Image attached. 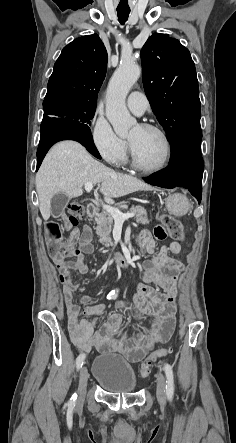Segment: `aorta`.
Listing matches in <instances>:
<instances>
[{
  "instance_id": "obj_1",
  "label": "aorta",
  "mask_w": 236,
  "mask_h": 443,
  "mask_svg": "<svg viewBox=\"0 0 236 443\" xmlns=\"http://www.w3.org/2000/svg\"><path fill=\"white\" fill-rule=\"evenodd\" d=\"M141 75V68L133 63L123 61L113 73L106 92V117L112 124L115 133L125 138L136 126L137 121L126 107V97Z\"/></svg>"
}]
</instances>
